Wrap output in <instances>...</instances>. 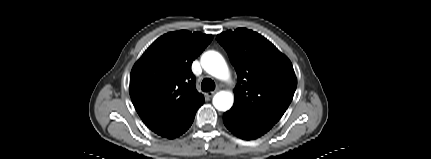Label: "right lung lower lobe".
Instances as JSON below:
<instances>
[{
  "instance_id": "obj_1",
  "label": "right lung lower lobe",
  "mask_w": 431,
  "mask_h": 159,
  "mask_svg": "<svg viewBox=\"0 0 431 159\" xmlns=\"http://www.w3.org/2000/svg\"><path fill=\"white\" fill-rule=\"evenodd\" d=\"M196 113V112H195ZM195 113L192 115V117L186 122V124L183 126V128L172 138H176L180 135H182L187 129L192 125Z\"/></svg>"
}]
</instances>
